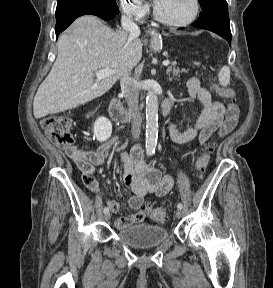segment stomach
<instances>
[{
	"label": "stomach",
	"instance_id": "obj_1",
	"mask_svg": "<svg viewBox=\"0 0 273 288\" xmlns=\"http://www.w3.org/2000/svg\"><path fill=\"white\" fill-rule=\"evenodd\" d=\"M151 48L154 51H156V52L161 50V48H162V39L159 36H157L156 38H154L151 41Z\"/></svg>",
	"mask_w": 273,
	"mask_h": 288
}]
</instances>
